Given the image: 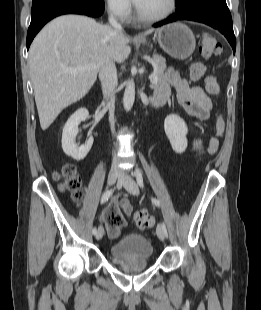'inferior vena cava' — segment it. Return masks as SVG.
<instances>
[{"label": "inferior vena cava", "instance_id": "602c4592", "mask_svg": "<svg viewBox=\"0 0 261 310\" xmlns=\"http://www.w3.org/2000/svg\"><path fill=\"white\" fill-rule=\"evenodd\" d=\"M109 23L116 31L122 32V26L116 21L115 17L111 13L109 16ZM99 79L102 86L103 96L109 99L107 107L109 109V122L112 131H114V90L118 84L116 66L114 61L108 60L100 69ZM113 165H116V159H113Z\"/></svg>", "mask_w": 261, "mask_h": 310}]
</instances>
